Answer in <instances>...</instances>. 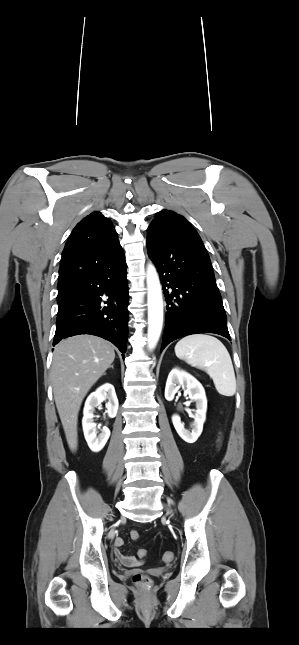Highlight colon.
<instances>
[{"label": "colon", "mask_w": 299, "mask_h": 645, "mask_svg": "<svg viewBox=\"0 0 299 645\" xmlns=\"http://www.w3.org/2000/svg\"><path fill=\"white\" fill-rule=\"evenodd\" d=\"M221 444H222V438L220 437L218 439V448H220ZM130 536H131V538L133 540H137L139 538V533L137 531H132L130 533ZM146 556H147V551L145 549H139L138 550V557L139 558L143 559ZM173 557H174V555L170 551H166L162 555V559H163L164 562L172 561ZM133 579H134V582L139 586H145V585L148 584V581H149L148 577L146 575H143V574H137V575L134 576Z\"/></svg>", "instance_id": "obj_1"}]
</instances>
